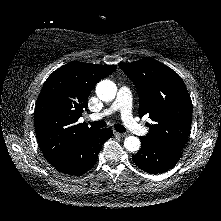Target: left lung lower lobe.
I'll list each match as a JSON object with an SVG mask.
<instances>
[{
  "mask_svg": "<svg viewBox=\"0 0 221 221\" xmlns=\"http://www.w3.org/2000/svg\"><path fill=\"white\" fill-rule=\"evenodd\" d=\"M140 151L132 156L134 163L152 174L163 173L173 167L181 158L182 151L153 145L140 137Z\"/></svg>",
  "mask_w": 221,
  "mask_h": 221,
  "instance_id": "obj_1",
  "label": "left lung lower lobe"
}]
</instances>
